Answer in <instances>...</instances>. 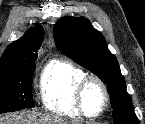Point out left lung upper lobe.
<instances>
[{
  "mask_svg": "<svg viewBox=\"0 0 145 124\" xmlns=\"http://www.w3.org/2000/svg\"><path fill=\"white\" fill-rule=\"evenodd\" d=\"M54 40L63 54L107 84L114 124H139L118 61L108 50L103 35L92 27L89 20L73 17L60 19L54 27Z\"/></svg>",
  "mask_w": 145,
  "mask_h": 124,
  "instance_id": "left-lung-upper-lobe-1",
  "label": "left lung upper lobe"
}]
</instances>
